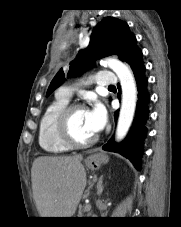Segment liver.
Masks as SVG:
<instances>
[{"label":"liver","mask_w":181,"mask_h":227,"mask_svg":"<svg viewBox=\"0 0 181 227\" xmlns=\"http://www.w3.org/2000/svg\"><path fill=\"white\" fill-rule=\"evenodd\" d=\"M82 155L39 157L31 169L33 197L41 217H72L86 186Z\"/></svg>","instance_id":"obj_1"}]
</instances>
